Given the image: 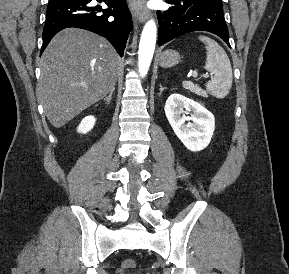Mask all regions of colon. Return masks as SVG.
Segmentation results:
<instances>
[{
	"instance_id": "colon-1",
	"label": "colon",
	"mask_w": 289,
	"mask_h": 274,
	"mask_svg": "<svg viewBox=\"0 0 289 274\" xmlns=\"http://www.w3.org/2000/svg\"><path fill=\"white\" fill-rule=\"evenodd\" d=\"M135 266H136V262L132 259H127V260L123 261V263H122V268L125 270L133 269V268H135Z\"/></svg>"
}]
</instances>
